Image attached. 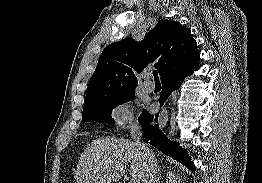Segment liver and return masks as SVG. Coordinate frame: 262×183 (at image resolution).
<instances>
[{"mask_svg":"<svg viewBox=\"0 0 262 183\" xmlns=\"http://www.w3.org/2000/svg\"><path fill=\"white\" fill-rule=\"evenodd\" d=\"M142 179L143 160L137 144L128 139L103 136L93 140L82 152L75 171L76 183H113L125 174Z\"/></svg>","mask_w":262,"mask_h":183,"instance_id":"1","label":"liver"}]
</instances>
